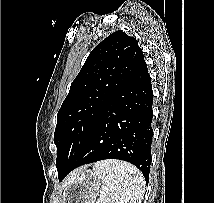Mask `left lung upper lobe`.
Instances as JSON below:
<instances>
[{"label": "left lung upper lobe", "mask_w": 214, "mask_h": 203, "mask_svg": "<svg viewBox=\"0 0 214 203\" xmlns=\"http://www.w3.org/2000/svg\"><path fill=\"white\" fill-rule=\"evenodd\" d=\"M143 59L137 40L121 30L91 51L57 114L54 143L59 178L80 152L98 116Z\"/></svg>", "instance_id": "left-lung-upper-lobe-1"}]
</instances>
